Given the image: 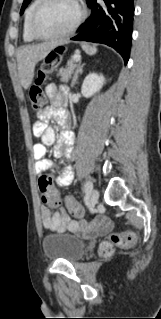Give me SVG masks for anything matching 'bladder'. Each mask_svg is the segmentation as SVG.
I'll return each instance as SVG.
<instances>
[{
	"label": "bladder",
	"instance_id": "1",
	"mask_svg": "<svg viewBox=\"0 0 161 319\" xmlns=\"http://www.w3.org/2000/svg\"><path fill=\"white\" fill-rule=\"evenodd\" d=\"M43 249L48 259L77 261L84 255L86 243L71 234L47 235L43 240Z\"/></svg>",
	"mask_w": 161,
	"mask_h": 319
}]
</instances>
